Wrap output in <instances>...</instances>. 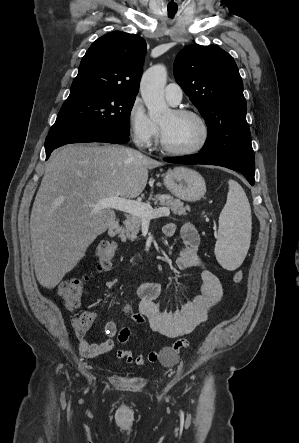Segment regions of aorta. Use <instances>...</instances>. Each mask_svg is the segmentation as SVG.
Instances as JSON below:
<instances>
[{"mask_svg": "<svg viewBox=\"0 0 299 443\" xmlns=\"http://www.w3.org/2000/svg\"><path fill=\"white\" fill-rule=\"evenodd\" d=\"M167 70L162 64L150 67L142 76L140 91L151 119L159 120L170 115L164 99Z\"/></svg>", "mask_w": 299, "mask_h": 443, "instance_id": "aorta-1", "label": "aorta"}]
</instances>
